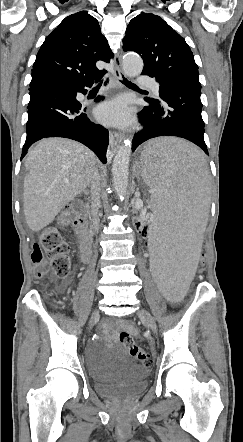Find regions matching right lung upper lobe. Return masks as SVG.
<instances>
[{
    "instance_id": "obj_1",
    "label": "right lung upper lobe",
    "mask_w": 243,
    "mask_h": 442,
    "mask_svg": "<svg viewBox=\"0 0 243 442\" xmlns=\"http://www.w3.org/2000/svg\"><path fill=\"white\" fill-rule=\"evenodd\" d=\"M113 57L98 21L86 11L66 17L46 37L37 53L30 87L49 82L83 83L105 70L96 62Z\"/></svg>"
}]
</instances>
